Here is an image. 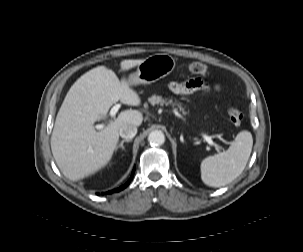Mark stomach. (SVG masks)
Wrapping results in <instances>:
<instances>
[{
    "label": "stomach",
    "mask_w": 303,
    "mask_h": 252,
    "mask_svg": "<svg viewBox=\"0 0 303 252\" xmlns=\"http://www.w3.org/2000/svg\"><path fill=\"white\" fill-rule=\"evenodd\" d=\"M175 67V60L168 54H155L144 59L136 72L128 76L130 85L150 84L169 75Z\"/></svg>",
    "instance_id": "stomach-1"
}]
</instances>
